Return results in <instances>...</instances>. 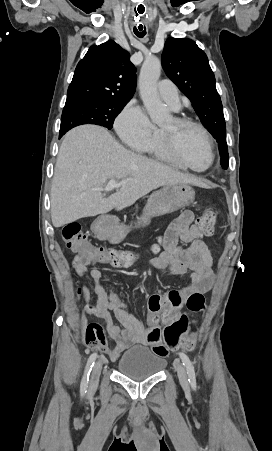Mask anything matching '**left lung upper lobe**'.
Instances as JSON below:
<instances>
[{"label":"left lung upper lobe","instance_id":"left-lung-upper-lobe-1","mask_svg":"<svg viewBox=\"0 0 272 451\" xmlns=\"http://www.w3.org/2000/svg\"><path fill=\"white\" fill-rule=\"evenodd\" d=\"M162 66L168 77L191 100L201 122L218 142L221 165L227 169L223 107L205 52L191 39L169 38L164 46Z\"/></svg>","mask_w":272,"mask_h":451}]
</instances>
